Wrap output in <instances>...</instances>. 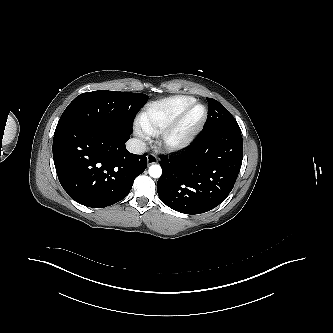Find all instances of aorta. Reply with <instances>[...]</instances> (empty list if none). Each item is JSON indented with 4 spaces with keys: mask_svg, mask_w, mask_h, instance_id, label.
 Here are the masks:
<instances>
[{
    "mask_svg": "<svg viewBox=\"0 0 333 333\" xmlns=\"http://www.w3.org/2000/svg\"><path fill=\"white\" fill-rule=\"evenodd\" d=\"M148 171L152 178H159L162 174V168L158 164L151 165Z\"/></svg>",
    "mask_w": 333,
    "mask_h": 333,
    "instance_id": "aorta-1",
    "label": "aorta"
}]
</instances>
